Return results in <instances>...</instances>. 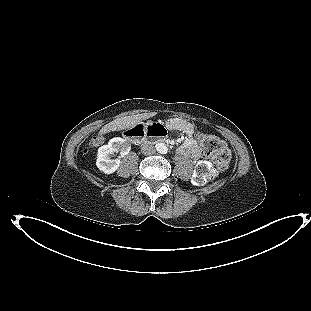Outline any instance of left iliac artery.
<instances>
[{
    "instance_id": "44dca946",
    "label": "left iliac artery",
    "mask_w": 311,
    "mask_h": 311,
    "mask_svg": "<svg viewBox=\"0 0 311 311\" xmlns=\"http://www.w3.org/2000/svg\"><path fill=\"white\" fill-rule=\"evenodd\" d=\"M168 152V149L166 148V147H164L163 149H162V153L163 154H166Z\"/></svg>"
}]
</instances>
